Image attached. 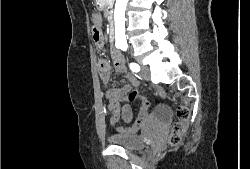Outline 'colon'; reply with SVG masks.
<instances>
[{
    "mask_svg": "<svg viewBox=\"0 0 250 169\" xmlns=\"http://www.w3.org/2000/svg\"><path fill=\"white\" fill-rule=\"evenodd\" d=\"M92 36L95 45H98V51H103V36L100 30L99 18L96 16L93 18V27H92ZM134 97L140 99V111H138V119L135 121L132 130L133 132L140 131L144 125L147 116V108L149 105L148 95L139 96V91H128V100H134ZM176 107L178 110H175V115H178V120L181 122H175V126H171L170 134H168L167 143L170 145H176L182 143V139H185V131H188V127L192 126L191 115H189V110L183 106V102H176ZM109 108H115L111 119L110 124H117V120L120 119V112L117 109H120V104L118 103H109ZM119 131H123V128H119Z\"/></svg>",
    "mask_w": 250,
    "mask_h": 169,
    "instance_id": "colon-1",
    "label": "colon"
}]
</instances>
